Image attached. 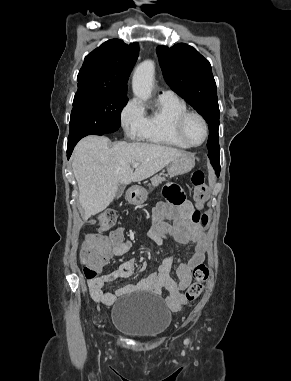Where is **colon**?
Listing matches in <instances>:
<instances>
[{"mask_svg":"<svg viewBox=\"0 0 291 381\" xmlns=\"http://www.w3.org/2000/svg\"><path fill=\"white\" fill-rule=\"evenodd\" d=\"M192 183L194 187V194L198 202H203L207 199L209 195V187L205 183L204 174L201 171L194 172L192 176ZM177 189V188H176ZM179 190V189H177ZM170 200L172 202H179L175 196H171ZM116 212L112 209L105 210L101 212L96 217V225L101 232L107 231L116 222ZM192 220L195 224L206 225L207 216L196 210L192 215ZM80 259L84 266V275L87 279H92L97 277L101 268L108 262L109 256L105 252H99L91 247H83L80 253ZM193 278L194 282L189 286L186 291V300L192 302L196 300L202 290L204 283L209 277V268L204 263H199L193 268Z\"/></svg>","mask_w":291,"mask_h":381,"instance_id":"5ec220e1","label":"colon"}]
</instances>
